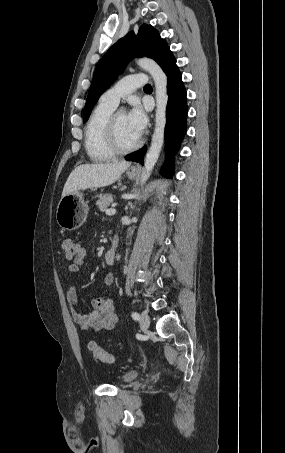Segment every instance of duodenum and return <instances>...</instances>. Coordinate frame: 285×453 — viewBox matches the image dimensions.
Listing matches in <instances>:
<instances>
[{
    "label": "duodenum",
    "mask_w": 285,
    "mask_h": 453,
    "mask_svg": "<svg viewBox=\"0 0 285 453\" xmlns=\"http://www.w3.org/2000/svg\"><path fill=\"white\" fill-rule=\"evenodd\" d=\"M117 241L114 240L111 248L104 254V260L108 265L114 263Z\"/></svg>",
    "instance_id": "obj_1"
}]
</instances>
